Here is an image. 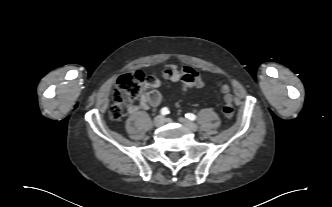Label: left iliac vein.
I'll return each mask as SVG.
<instances>
[{"label": "left iliac vein", "instance_id": "left-iliac-vein-1", "mask_svg": "<svg viewBox=\"0 0 332 207\" xmlns=\"http://www.w3.org/2000/svg\"><path fill=\"white\" fill-rule=\"evenodd\" d=\"M179 122H181L183 125H185L187 128H189L191 131L195 132L198 130V126L186 118H183V117L179 118Z\"/></svg>", "mask_w": 332, "mask_h": 207}]
</instances>
